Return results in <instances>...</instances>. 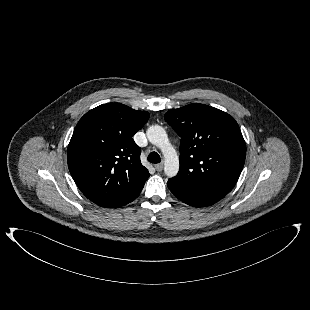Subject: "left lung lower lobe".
I'll return each instance as SVG.
<instances>
[{
    "label": "left lung lower lobe",
    "mask_w": 310,
    "mask_h": 310,
    "mask_svg": "<svg viewBox=\"0 0 310 310\" xmlns=\"http://www.w3.org/2000/svg\"><path fill=\"white\" fill-rule=\"evenodd\" d=\"M169 190L184 203L194 207H206L215 204L221 198L213 195L186 189L170 179L167 182Z\"/></svg>",
    "instance_id": "obj_1"
}]
</instances>
